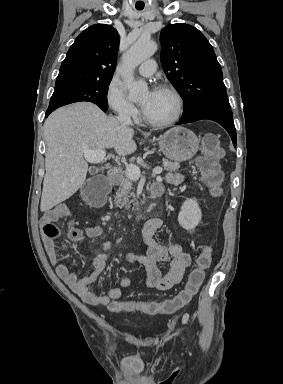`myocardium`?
<instances>
[{
    "instance_id": "f54148a6",
    "label": "myocardium",
    "mask_w": 283,
    "mask_h": 384,
    "mask_svg": "<svg viewBox=\"0 0 283 384\" xmlns=\"http://www.w3.org/2000/svg\"><path fill=\"white\" fill-rule=\"evenodd\" d=\"M156 88L167 92L171 96V98L174 102V106H175L174 113L170 118H168L167 120H164V121L149 120L142 113H141V118H142L143 122L150 127L166 128V127L173 125L174 123H176L179 120L181 113H182V107H183L182 98H181L180 94L177 92V90L168 84H161V85L157 86Z\"/></svg>"
}]
</instances>
